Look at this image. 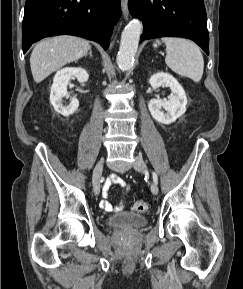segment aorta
I'll return each instance as SVG.
<instances>
[{"label": "aorta", "instance_id": "1", "mask_svg": "<svg viewBox=\"0 0 243 289\" xmlns=\"http://www.w3.org/2000/svg\"><path fill=\"white\" fill-rule=\"evenodd\" d=\"M142 31V23L132 20L123 30L119 52L117 54V64L121 69H129L133 64L138 43Z\"/></svg>", "mask_w": 243, "mask_h": 289}]
</instances>
